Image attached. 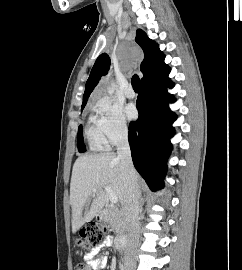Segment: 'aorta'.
Returning a JSON list of instances; mask_svg holds the SVG:
<instances>
[{
    "label": "aorta",
    "mask_w": 242,
    "mask_h": 270,
    "mask_svg": "<svg viewBox=\"0 0 242 270\" xmlns=\"http://www.w3.org/2000/svg\"><path fill=\"white\" fill-rule=\"evenodd\" d=\"M116 84L114 82L111 83V85L108 88V94L113 95L116 90Z\"/></svg>",
    "instance_id": "1"
}]
</instances>
